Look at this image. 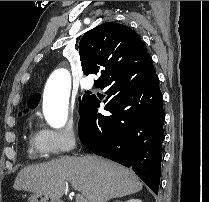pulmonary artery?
<instances>
[{"mask_svg":"<svg viewBox=\"0 0 209 202\" xmlns=\"http://www.w3.org/2000/svg\"><path fill=\"white\" fill-rule=\"evenodd\" d=\"M82 87L90 88L93 85V81L91 79H85L81 83Z\"/></svg>","mask_w":209,"mask_h":202,"instance_id":"1","label":"pulmonary artery"}]
</instances>
